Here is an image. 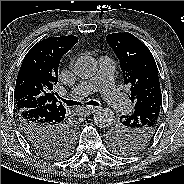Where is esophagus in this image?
I'll list each match as a JSON object with an SVG mask.
<instances>
[{
    "label": "esophagus",
    "mask_w": 184,
    "mask_h": 184,
    "mask_svg": "<svg viewBox=\"0 0 184 184\" xmlns=\"http://www.w3.org/2000/svg\"><path fill=\"white\" fill-rule=\"evenodd\" d=\"M96 109L97 108L93 106L83 107L80 109V114L89 115V114H92L94 111H96Z\"/></svg>",
    "instance_id": "34e87169"
}]
</instances>
